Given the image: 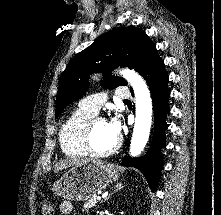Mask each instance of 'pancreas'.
Masks as SVG:
<instances>
[{
	"mask_svg": "<svg viewBox=\"0 0 221 215\" xmlns=\"http://www.w3.org/2000/svg\"><path fill=\"white\" fill-rule=\"evenodd\" d=\"M97 199L96 196H92V198H90L87 202H85L84 204V208L85 209H89V208H93L96 204H97Z\"/></svg>",
	"mask_w": 221,
	"mask_h": 215,
	"instance_id": "cf45deb5",
	"label": "pancreas"
}]
</instances>
